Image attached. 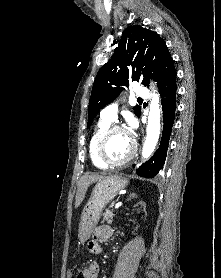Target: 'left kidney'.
I'll use <instances>...</instances> for the list:
<instances>
[{
    "mask_svg": "<svg viewBox=\"0 0 221 278\" xmlns=\"http://www.w3.org/2000/svg\"><path fill=\"white\" fill-rule=\"evenodd\" d=\"M138 205H141L144 209H145V207H146L145 203H144V202H142V201H141V202H139V203H138Z\"/></svg>",
    "mask_w": 221,
    "mask_h": 278,
    "instance_id": "left-kidney-1",
    "label": "left kidney"
}]
</instances>
